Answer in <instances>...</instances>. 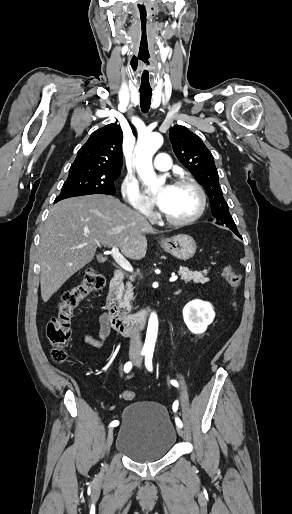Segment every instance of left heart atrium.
<instances>
[{"label":"left heart atrium","instance_id":"39dd6f15","mask_svg":"<svg viewBox=\"0 0 292 514\" xmlns=\"http://www.w3.org/2000/svg\"><path fill=\"white\" fill-rule=\"evenodd\" d=\"M172 188H173V186H171V185H167L164 188H162L159 192H157L156 194L151 196L152 202L155 205L162 208L164 206V203H165L167 197L171 193Z\"/></svg>","mask_w":292,"mask_h":514}]
</instances>
